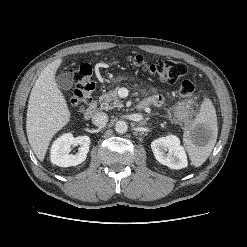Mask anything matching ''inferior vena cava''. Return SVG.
I'll return each mask as SVG.
<instances>
[{
	"label": "inferior vena cava",
	"mask_w": 247,
	"mask_h": 247,
	"mask_svg": "<svg viewBox=\"0 0 247 247\" xmlns=\"http://www.w3.org/2000/svg\"><path fill=\"white\" fill-rule=\"evenodd\" d=\"M108 122V115L103 112L95 113V115L92 117V123L95 126H103Z\"/></svg>",
	"instance_id": "inferior-vena-cava-1"
}]
</instances>
